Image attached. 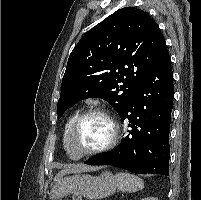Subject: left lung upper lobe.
I'll use <instances>...</instances> for the list:
<instances>
[{
	"mask_svg": "<svg viewBox=\"0 0 201 200\" xmlns=\"http://www.w3.org/2000/svg\"><path fill=\"white\" fill-rule=\"evenodd\" d=\"M166 52L165 39L147 12L134 7L117 10L89 30L71 52L58 118L87 98L104 99L120 115Z\"/></svg>",
	"mask_w": 201,
	"mask_h": 200,
	"instance_id": "5c2ea615",
	"label": "left lung upper lobe"
}]
</instances>
